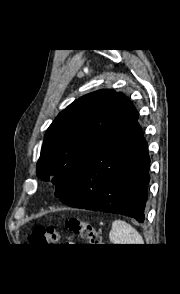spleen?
Returning a JSON list of instances; mask_svg holds the SVG:
<instances>
[{
  "label": "spleen",
  "instance_id": "1",
  "mask_svg": "<svg viewBox=\"0 0 180 294\" xmlns=\"http://www.w3.org/2000/svg\"><path fill=\"white\" fill-rule=\"evenodd\" d=\"M109 239L113 244H144L137 230L122 220L113 221Z\"/></svg>",
  "mask_w": 180,
  "mask_h": 294
}]
</instances>
